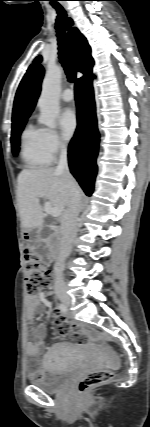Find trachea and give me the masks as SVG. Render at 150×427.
<instances>
[{
    "mask_svg": "<svg viewBox=\"0 0 150 427\" xmlns=\"http://www.w3.org/2000/svg\"><path fill=\"white\" fill-rule=\"evenodd\" d=\"M52 6L56 9L58 13L55 28L57 31V38H58L59 59L65 70L68 81L73 83L76 80V70L68 50L67 39H66V34L64 29V21L66 20V25H68L71 20L70 18L66 19L67 14L61 5L53 2Z\"/></svg>",
    "mask_w": 150,
    "mask_h": 427,
    "instance_id": "trachea-1",
    "label": "trachea"
}]
</instances>
